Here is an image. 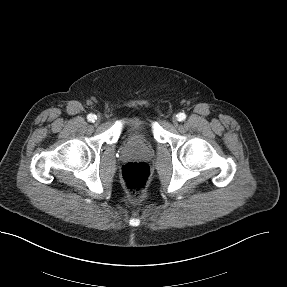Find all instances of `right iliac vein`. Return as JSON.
<instances>
[{
  "label": "right iliac vein",
  "mask_w": 287,
  "mask_h": 287,
  "mask_svg": "<svg viewBox=\"0 0 287 287\" xmlns=\"http://www.w3.org/2000/svg\"><path fill=\"white\" fill-rule=\"evenodd\" d=\"M100 121H101V118H100V117H97L96 120H95V124H96V125L99 124Z\"/></svg>",
  "instance_id": "63e3f726"
}]
</instances>
